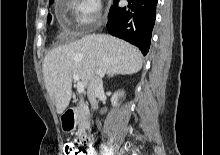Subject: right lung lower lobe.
<instances>
[{"instance_id": "right-lung-lower-lobe-1", "label": "right lung lower lobe", "mask_w": 220, "mask_h": 155, "mask_svg": "<svg viewBox=\"0 0 220 155\" xmlns=\"http://www.w3.org/2000/svg\"><path fill=\"white\" fill-rule=\"evenodd\" d=\"M128 9L118 8L117 0L108 14L107 30L113 36L137 46L144 55L151 43L157 0H127Z\"/></svg>"}]
</instances>
